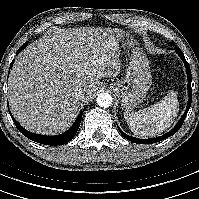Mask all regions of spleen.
<instances>
[{"label": "spleen", "instance_id": "1", "mask_svg": "<svg viewBox=\"0 0 199 199\" xmlns=\"http://www.w3.org/2000/svg\"><path fill=\"white\" fill-rule=\"evenodd\" d=\"M177 94L169 92L160 102L138 112H124L130 130L140 137H155L168 129L179 111Z\"/></svg>", "mask_w": 199, "mask_h": 199}]
</instances>
